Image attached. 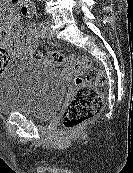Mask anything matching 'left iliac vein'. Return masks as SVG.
<instances>
[{
    "instance_id": "left-iliac-vein-1",
    "label": "left iliac vein",
    "mask_w": 133,
    "mask_h": 173,
    "mask_svg": "<svg viewBox=\"0 0 133 173\" xmlns=\"http://www.w3.org/2000/svg\"><path fill=\"white\" fill-rule=\"evenodd\" d=\"M42 37L43 38H51L52 37V32H51L50 22L49 21H47L44 25Z\"/></svg>"
}]
</instances>
